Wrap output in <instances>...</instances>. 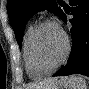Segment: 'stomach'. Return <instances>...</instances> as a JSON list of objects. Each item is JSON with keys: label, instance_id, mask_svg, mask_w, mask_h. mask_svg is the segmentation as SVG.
Returning a JSON list of instances; mask_svg holds the SVG:
<instances>
[{"label": "stomach", "instance_id": "1", "mask_svg": "<svg viewBox=\"0 0 89 89\" xmlns=\"http://www.w3.org/2000/svg\"><path fill=\"white\" fill-rule=\"evenodd\" d=\"M49 89H74L68 82L67 78L59 79L51 88Z\"/></svg>", "mask_w": 89, "mask_h": 89}]
</instances>
